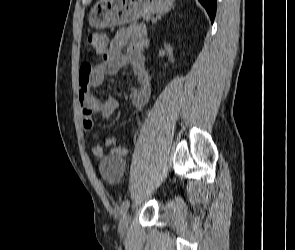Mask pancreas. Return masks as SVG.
<instances>
[{"label": "pancreas", "instance_id": "1", "mask_svg": "<svg viewBox=\"0 0 295 250\" xmlns=\"http://www.w3.org/2000/svg\"><path fill=\"white\" fill-rule=\"evenodd\" d=\"M144 19H145V21H149V20H152V21H153V20H154V19L151 18L150 16H145Z\"/></svg>", "mask_w": 295, "mask_h": 250}]
</instances>
